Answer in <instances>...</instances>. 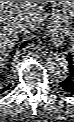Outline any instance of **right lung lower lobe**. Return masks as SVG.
<instances>
[{"label":"right lung lower lobe","instance_id":"obj_1","mask_svg":"<svg viewBox=\"0 0 74 122\" xmlns=\"http://www.w3.org/2000/svg\"><path fill=\"white\" fill-rule=\"evenodd\" d=\"M26 43H27V42L22 43L21 48L24 47V46L26 45ZM10 86H11V84H9L8 86H6V87H4L3 89H1V90H0V93L6 91Z\"/></svg>","mask_w":74,"mask_h":122}]
</instances>
